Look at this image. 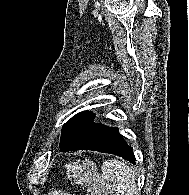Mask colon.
Here are the masks:
<instances>
[{"mask_svg": "<svg viewBox=\"0 0 189 195\" xmlns=\"http://www.w3.org/2000/svg\"><path fill=\"white\" fill-rule=\"evenodd\" d=\"M66 175L72 182L89 186L88 195H109V185L105 177L97 174L87 158H81L65 166ZM52 195H68L65 191L58 190Z\"/></svg>", "mask_w": 189, "mask_h": 195, "instance_id": "obj_1", "label": "colon"}]
</instances>
